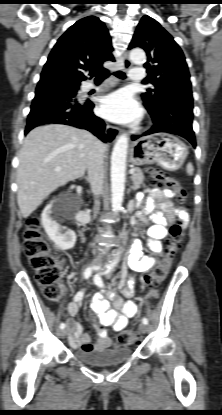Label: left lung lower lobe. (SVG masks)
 <instances>
[{"instance_id":"left-lung-lower-lobe-1","label":"left lung lower lobe","mask_w":222,"mask_h":415,"mask_svg":"<svg viewBox=\"0 0 222 415\" xmlns=\"http://www.w3.org/2000/svg\"><path fill=\"white\" fill-rule=\"evenodd\" d=\"M175 98H178L181 102L180 109L175 114H162L163 109L168 107ZM157 107L154 109L146 108L152 117L154 125L148 131L144 132L143 135L160 132L171 133L187 139L196 147V140L192 128L193 97L191 85L178 84L173 88L166 89L162 93L160 103ZM138 137L133 136L132 139L135 140Z\"/></svg>"}]
</instances>
